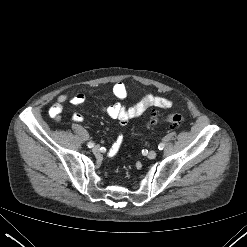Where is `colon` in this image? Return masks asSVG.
I'll use <instances>...</instances> for the list:
<instances>
[{
    "instance_id": "1",
    "label": "colon",
    "mask_w": 247,
    "mask_h": 247,
    "mask_svg": "<svg viewBox=\"0 0 247 247\" xmlns=\"http://www.w3.org/2000/svg\"><path fill=\"white\" fill-rule=\"evenodd\" d=\"M151 118L154 123L164 122L168 125L169 128L178 127L184 120L183 116L179 113H172L167 115L152 113Z\"/></svg>"
}]
</instances>
